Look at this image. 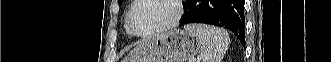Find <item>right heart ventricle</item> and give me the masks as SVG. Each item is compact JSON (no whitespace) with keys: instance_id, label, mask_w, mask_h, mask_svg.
I'll return each instance as SVG.
<instances>
[{"instance_id":"obj_1","label":"right heart ventricle","mask_w":331,"mask_h":62,"mask_svg":"<svg viewBox=\"0 0 331 62\" xmlns=\"http://www.w3.org/2000/svg\"><path fill=\"white\" fill-rule=\"evenodd\" d=\"M125 30H126V33H127L128 35H131V33H130L129 30H128L127 22H126V21H125Z\"/></svg>"}]
</instances>
